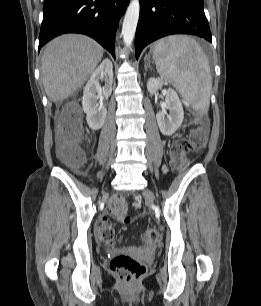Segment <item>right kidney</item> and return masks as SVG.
Wrapping results in <instances>:
<instances>
[{"mask_svg": "<svg viewBox=\"0 0 261 306\" xmlns=\"http://www.w3.org/2000/svg\"><path fill=\"white\" fill-rule=\"evenodd\" d=\"M100 81H104L103 87ZM112 82L113 65L109 59H105L92 73L83 90L82 107L92 130H98L104 124L107 109L103 105V99L111 95Z\"/></svg>", "mask_w": 261, "mask_h": 306, "instance_id": "right-kidney-1", "label": "right kidney"}]
</instances>
